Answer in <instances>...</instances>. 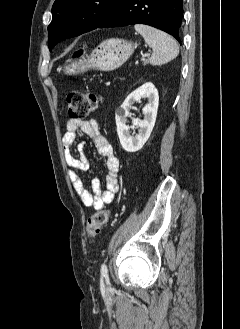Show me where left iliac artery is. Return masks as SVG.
<instances>
[{"mask_svg":"<svg viewBox=\"0 0 240 329\" xmlns=\"http://www.w3.org/2000/svg\"><path fill=\"white\" fill-rule=\"evenodd\" d=\"M101 275L106 277L108 275V269L105 263L101 265Z\"/></svg>","mask_w":240,"mask_h":329,"instance_id":"obj_1","label":"left iliac artery"}]
</instances>
